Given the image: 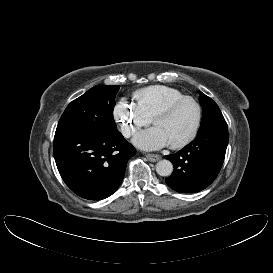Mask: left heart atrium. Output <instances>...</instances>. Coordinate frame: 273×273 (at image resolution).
<instances>
[{
  "label": "left heart atrium",
  "instance_id": "1",
  "mask_svg": "<svg viewBox=\"0 0 273 273\" xmlns=\"http://www.w3.org/2000/svg\"><path fill=\"white\" fill-rule=\"evenodd\" d=\"M133 143L142 150H155L168 145L166 138L156 127L137 133Z\"/></svg>",
  "mask_w": 273,
  "mask_h": 273
}]
</instances>
